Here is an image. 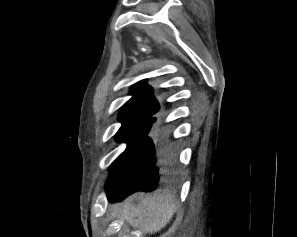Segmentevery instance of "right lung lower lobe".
<instances>
[{
  "mask_svg": "<svg viewBox=\"0 0 297 237\" xmlns=\"http://www.w3.org/2000/svg\"><path fill=\"white\" fill-rule=\"evenodd\" d=\"M148 133L149 131L129 157L119 185L116 188H107L109 201L124 200L137 191H154L160 182L172 178L175 164L170 153L169 134L159 130L155 133L153 142Z\"/></svg>",
  "mask_w": 297,
  "mask_h": 237,
  "instance_id": "right-lung-lower-lobe-1",
  "label": "right lung lower lobe"
}]
</instances>
